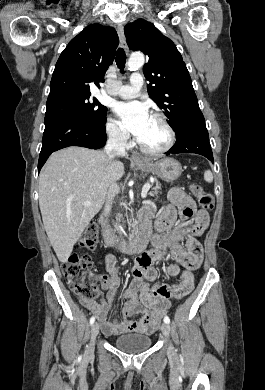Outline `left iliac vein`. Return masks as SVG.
I'll list each match as a JSON object with an SVG mask.
<instances>
[{"mask_svg": "<svg viewBox=\"0 0 265 390\" xmlns=\"http://www.w3.org/2000/svg\"><path fill=\"white\" fill-rule=\"evenodd\" d=\"M161 331H162L164 337H166V338L170 337L171 330H170V326L167 323H163L161 325ZM168 353L170 355H172L174 353V348L171 344L169 345Z\"/></svg>", "mask_w": 265, "mask_h": 390, "instance_id": "left-iliac-vein-1", "label": "left iliac vein"}]
</instances>
